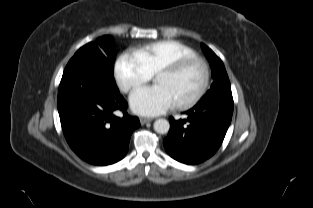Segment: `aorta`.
<instances>
[{
  "label": "aorta",
  "instance_id": "aorta-1",
  "mask_svg": "<svg viewBox=\"0 0 313 208\" xmlns=\"http://www.w3.org/2000/svg\"><path fill=\"white\" fill-rule=\"evenodd\" d=\"M154 130L159 134H166L170 129V124L166 119H157L154 122Z\"/></svg>",
  "mask_w": 313,
  "mask_h": 208
}]
</instances>
